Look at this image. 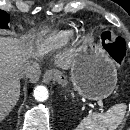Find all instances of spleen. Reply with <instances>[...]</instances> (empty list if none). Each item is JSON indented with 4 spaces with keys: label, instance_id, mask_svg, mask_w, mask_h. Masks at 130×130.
Here are the masks:
<instances>
[{
    "label": "spleen",
    "instance_id": "spleen-1",
    "mask_svg": "<svg viewBox=\"0 0 130 130\" xmlns=\"http://www.w3.org/2000/svg\"><path fill=\"white\" fill-rule=\"evenodd\" d=\"M126 104L112 106L106 113H93L85 117L74 130H115L121 122Z\"/></svg>",
    "mask_w": 130,
    "mask_h": 130
}]
</instances>
